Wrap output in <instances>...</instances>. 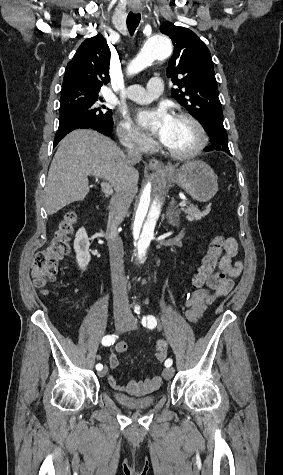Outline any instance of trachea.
<instances>
[{
  "label": "trachea",
  "instance_id": "3493384b",
  "mask_svg": "<svg viewBox=\"0 0 283 475\" xmlns=\"http://www.w3.org/2000/svg\"><path fill=\"white\" fill-rule=\"evenodd\" d=\"M140 19H141L140 13H133V12L128 13L126 23L131 35L134 34L136 28L138 27L140 23Z\"/></svg>",
  "mask_w": 283,
  "mask_h": 475
}]
</instances>
